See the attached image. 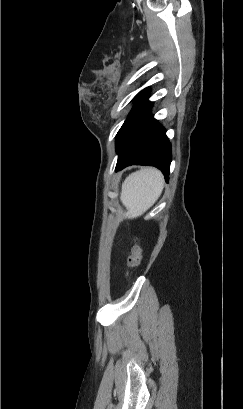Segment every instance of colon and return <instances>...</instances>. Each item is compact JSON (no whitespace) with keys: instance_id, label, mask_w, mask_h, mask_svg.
I'll return each mask as SVG.
<instances>
[{"instance_id":"colon-1","label":"colon","mask_w":243,"mask_h":409,"mask_svg":"<svg viewBox=\"0 0 243 409\" xmlns=\"http://www.w3.org/2000/svg\"><path fill=\"white\" fill-rule=\"evenodd\" d=\"M142 257V249L138 243H135L132 247L131 254L127 259V265L129 268H136L140 265ZM128 274H126L127 276Z\"/></svg>"}]
</instances>
